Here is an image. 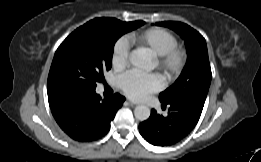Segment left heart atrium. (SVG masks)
I'll use <instances>...</instances> for the list:
<instances>
[{
	"label": "left heart atrium",
	"instance_id": "left-heart-atrium-1",
	"mask_svg": "<svg viewBox=\"0 0 261 162\" xmlns=\"http://www.w3.org/2000/svg\"><path fill=\"white\" fill-rule=\"evenodd\" d=\"M162 78L158 74H139L127 72L119 77L118 86L126 96L142 100L162 88Z\"/></svg>",
	"mask_w": 261,
	"mask_h": 162
}]
</instances>
